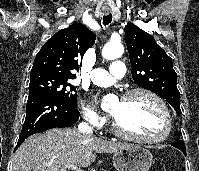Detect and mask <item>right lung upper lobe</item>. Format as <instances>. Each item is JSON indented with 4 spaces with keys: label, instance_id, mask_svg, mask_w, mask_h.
I'll return each mask as SVG.
<instances>
[{
    "label": "right lung upper lobe",
    "instance_id": "right-lung-upper-lobe-1",
    "mask_svg": "<svg viewBox=\"0 0 199 171\" xmlns=\"http://www.w3.org/2000/svg\"><path fill=\"white\" fill-rule=\"evenodd\" d=\"M95 42V35L80 23L58 31L35 57L30 77L51 75L70 80L76 75L84 53Z\"/></svg>",
    "mask_w": 199,
    "mask_h": 171
}]
</instances>
